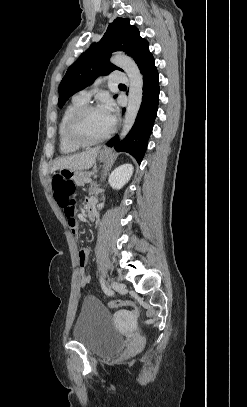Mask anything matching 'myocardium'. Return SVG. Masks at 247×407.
I'll return each instance as SVG.
<instances>
[{"instance_id": "f54148a6", "label": "myocardium", "mask_w": 247, "mask_h": 407, "mask_svg": "<svg viewBox=\"0 0 247 407\" xmlns=\"http://www.w3.org/2000/svg\"><path fill=\"white\" fill-rule=\"evenodd\" d=\"M99 108L98 105L84 104L72 114L67 125V135L71 142L79 146H92L106 141L114 133L115 128L113 125L105 135L97 139H86L80 133L79 124L83 116L89 111Z\"/></svg>"}]
</instances>
